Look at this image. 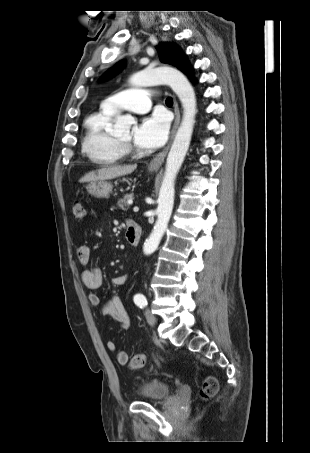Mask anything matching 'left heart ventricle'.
<instances>
[{"mask_svg":"<svg viewBox=\"0 0 310 453\" xmlns=\"http://www.w3.org/2000/svg\"><path fill=\"white\" fill-rule=\"evenodd\" d=\"M122 141L129 142L131 140V132L119 138Z\"/></svg>","mask_w":310,"mask_h":453,"instance_id":"left-heart-ventricle-1","label":"left heart ventricle"}]
</instances>
